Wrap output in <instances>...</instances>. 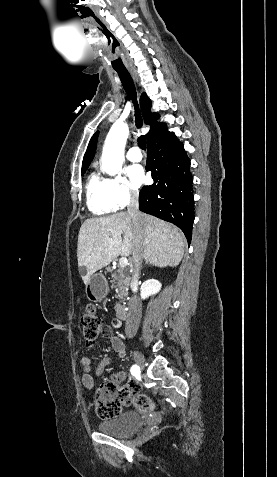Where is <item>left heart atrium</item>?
Instances as JSON below:
<instances>
[{"instance_id":"39dd6f15","label":"left heart atrium","mask_w":277,"mask_h":477,"mask_svg":"<svg viewBox=\"0 0 277 477\" xmlns=\"http://www.w3.org/2000/svg\"><path fill=\"white\" fill-rule=\"evenodd\" d=\"M128 174L135 186H140L144 180H145V175L143 168L139 165H133L128 169Z\"/></svg>"}]
</instances>
